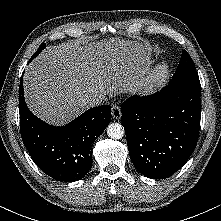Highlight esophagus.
Wrapping results in <instances>:
<instances>
[{
  "label": "esophagus",
  "mask_w": 221,
  "mask_h": 221,
  "mask_svg": "<svg viewBox=\"0 0 221 221\" xmlns=\"http://www.w3.org/2000/svg\"><path fill=\"white\" fill-rule=\"evenodd\" d=\"M111 115L115 119H119L121 117V109L117 104L112 105Z\"/></svg>",
  "instance_id": "34e87169"
}]
</instances>
